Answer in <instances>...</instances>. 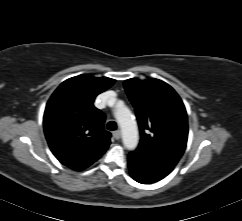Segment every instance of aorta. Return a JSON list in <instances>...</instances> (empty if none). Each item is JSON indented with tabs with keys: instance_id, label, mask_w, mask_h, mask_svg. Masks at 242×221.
<instances>
[{
	"instance_id": "1",
	"label": "aorta",
	"mask_w": 242,
	"mask_h": 221,
	"mask_svg": "<svg viewBox=\"0 0 242 221\" xmlns=\"http://www.w3.org/2000/svg\"><path fill=\"white\" fill-rule=\"evenodd\" d=\"M115 117L121 127L122 141L126 149L134 150L138 145V128L131 111L122 103L115 110Z\"/></svg>"
}]
</instances>
